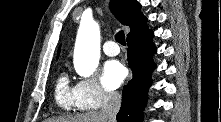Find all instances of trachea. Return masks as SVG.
<instances>
[{
  "label": "trachea",
  "mask_w": 221,
  "mask_h": 122,
  "mask_svg": "<svg viewBox=\"0 0 221 122\" xmlns=\"http://www.w3.org/2000/svg\"><path fill=\"white\" fill-rule=\"evenodd\" d=\"M115 40L123 46L126 45L125 34L123 30L116 33Z\"/></svg>",
  "instance_id": "1"
}]
</instances>
